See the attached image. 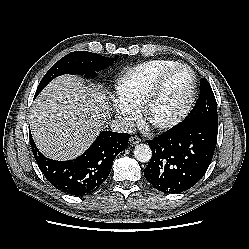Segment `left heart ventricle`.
I'll return each instance as SVG.
<instances>
[{"label": "left heart ventricle", "instance_id": "left-heart-ventricle-1", "mask_svg": "<svg viewBox=\"0 0 249 249\" xmlns=\"http://www.w3.org/2000/svg\"><path fill=\"white\" fill-rule=\"evenodd\" d=\"M190 84L191 75L187 69L174 72L149 112L150 122H163L173 117L182 107Z\"/></svg>", "mask_w": 249, "mask_h": 249}]
</instances>
